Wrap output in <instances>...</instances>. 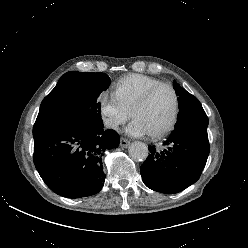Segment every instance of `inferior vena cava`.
I'll return each mask as SVG.
<instances>
[{"mask_svg":"<svg viewBox=\"0 0 248 248\" xmlns=\"http://www.w3.org/2000/svg\"><path fill=\"white\" fill-rule=\"evenodd\" d=\"M104 124L107 128H111V129H115V130L118 128V124L112 120H109V119H106Z\"/></svg>","mask_w":248,"mask_h":248,"instance_id":"602c4592","label":"inferior vena cava"}]
</instances>
